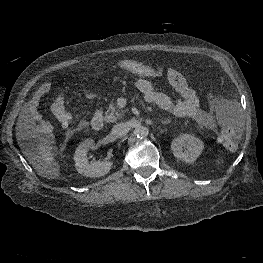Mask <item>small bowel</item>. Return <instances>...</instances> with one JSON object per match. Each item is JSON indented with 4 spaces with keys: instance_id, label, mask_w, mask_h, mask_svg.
Returning <instances> with one entry per match:
<instances>
[{
    "instance_id": "1",
    "label": "small bowel",
    "mask_w": 263,
    "mask_h": 263,
    "mask_svg": "<svg viewBox=\"0 0 263 263\" xmlns=\"http://www.w3.org/2000/svg\"><path fill=\"white\" fill-rule=\"evenodd\" d=\"M157 68L164 70V75L169 84L181 98L177 101H173L167 94L157 90L146 76L141 75L136 81V87L143 94L144 99L147 102L154 103L161 109L170 111L177 116L190 117L206 129H214L216 123L212 112L201 107L199 95L188 85L186 79L172 67ZM50 89V83L42 84L27 105L26 113H33L41 97L48 93ZM55 102L61 107H64L62 96H57L53 102V111Z\"/></svg>"
}]
</instances>
